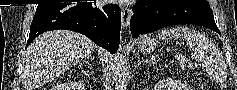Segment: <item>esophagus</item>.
Masks as SVG:
<instances>
[{
	"label": "esophagus",
	"instance_id": "34e87169",
	"mask_svg": "<svg viewBox=\"0 0 237 90\" xmlns=\"http://www.w3.org/2000/svg\"><path fill=\"white\" fill-rule=\"evenodd\" d=\"M121 12H122L121 17L122 28H128L132 13L131 7L129 5H124L121 7Z\"/></svg>",
	"mask_w": 237,
	"mask_h": 90
}]
</instances>
